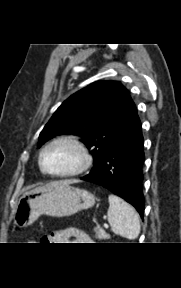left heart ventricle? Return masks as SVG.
Segmentation results:
<instances>
[{
    "instance_id": "b2bd125f",
    "label": "left heart ventricle",
    "mask_w": 181,
    "mask_h": 288,
    "mask_svg": "<svg viewBox=\"0 0 181 288\" xmlns=\"http://www.w3.org/2000/svg\"><path fill=\"white\" fill-rule=\"evenodd\" d=\"M80 163L78 151L68 144H56L44 155L45 167L54 173H64L75 169Z\"/></svg>"
}]
</instances>
